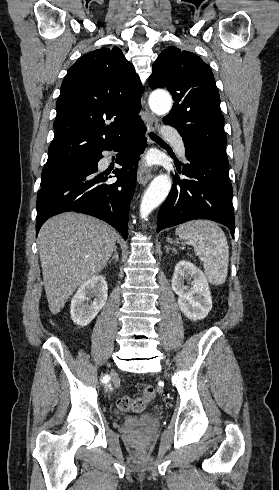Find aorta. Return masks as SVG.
<instances>
[{"label":"aorta","mask_w":279,"mask_h":490,"mask_svg":"<svg viewBox=\"0 0 279 490\" xmlns=\"http://www.w3.org/2000/svg\"><path fill=\"white\" fill-rule=\"evenodd\" d=\"M150 109L157 115H166L172 107V98L166 91L153 92L149 97ZM171 189V179L166 174L158 175L150 183L140 205V216L146 219L168 196Z\"/></svg>","instance_id":"1"}]
</instances>
